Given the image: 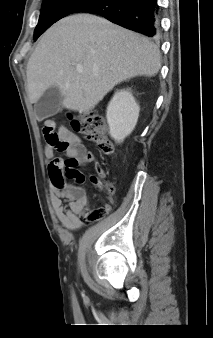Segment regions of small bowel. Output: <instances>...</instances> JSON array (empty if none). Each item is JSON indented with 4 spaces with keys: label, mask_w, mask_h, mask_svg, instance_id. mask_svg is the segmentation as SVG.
I'll list each match as a JSON object with an SVG mask.
<instances>
[{
    "label": "small bowel",
    "mask_w": 213,
    "mask_h": 338,
    "mask_svg": "<svg viewBox=\"0 0 213 338\" xmlns=\"http://www.w3.org/2000/svg\"><path fill=\"white\" fill-rule=\"evenodd\" d=\"M43 134L46 142L44 153L47 162L56 160L59 165H63V158L58 154L59 143L62 142L70 144L64 150L67 160L76 158L80 164L85 165L96 159L93 152L87 151L80 138L65 126L56 130V123L46 120L43 124ZM50 200L57 219L67 229H78L90 221V212L87 211L89 198L85 188L69 183L61 187H51Z\"/></svg>",
    "instance_id": "1"
}]
</instances>
